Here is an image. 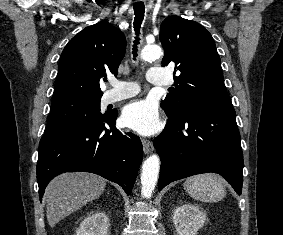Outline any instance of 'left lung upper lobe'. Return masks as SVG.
<instances>
[{
    "label": "left lung upper lobe",
    "instance_id": "obj_1",
    "mask_svg": "<svg viewBox=\"0 0 283 235\" xmlns=\"http://www.w3.org/2000/svg\"><path fill=\"white\" fill-rule=\"evenodd\" d=\"M164 48L162 66L175 64V89L161 107L170 119L196 110L233 108L226 91L221 61L211 34L199 23L178 16L167 17L160 26Z\"/></svg>",
    "mask_w": 283,
    "mask_h": 235
}]
</instances>
